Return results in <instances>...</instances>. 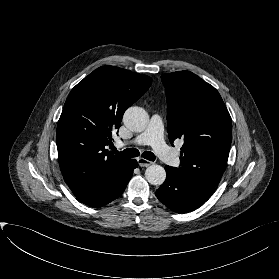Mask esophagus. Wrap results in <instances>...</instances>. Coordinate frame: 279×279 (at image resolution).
<instances>
[{
	"instance_id": "obj_1",
	"label": "esophagus",
	"mask_w": 279,
	"mask_h": 279,
	"mask_svg": "<svg viewBox=\"0 0 279 279\" xmlns=\"http://www.w3.org/2000/svg\"><path fill=\"white\" fill-rule=\"evenodd\" d=\"M137 161H138L139 166H141V167H147V166H150L152 164L151 161L146 160V159L141 158V157L138 158Z\"/></svg>"
}]
</instances>
